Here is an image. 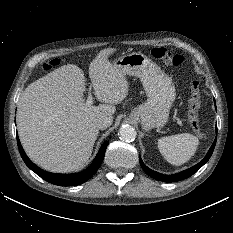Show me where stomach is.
<instances>
[{
  "mask_svg": "<svg viewBox=\"0 0 233 233\" xmlns=\"http://www.w3.org/2000/svg\"><path fill=\"white\" fill-rule=\"evenodd\" d=\"M114 64L124 75L138 77L147 96L145 103L131 111L130 118L139 122L146 131L164 126L176 97L172 79L140 52L123 55Z\"/></svg>",
  "mask_w": 233,
  "mask_h": 233,
  "instance_id": "1",
  "label": "stomach"
}]
</instances>
